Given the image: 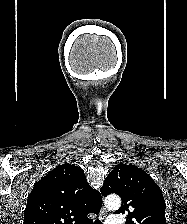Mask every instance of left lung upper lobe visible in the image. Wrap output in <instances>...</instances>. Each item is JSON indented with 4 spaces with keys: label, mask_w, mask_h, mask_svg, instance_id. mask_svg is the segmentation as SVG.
<instances>
[{
    "label": "left lung upper lobe",
    "mask_w": 187,
    "mask_h": 224,
    "mask_svg": "<svg viewBox=\"0 0 187 224\" xmlns=\"http://www.w3.org/2000/svg\"><path fill=\"white\" fill-rule=\"evenodd\" d=\"M106 196L118 194L122 205L115 213L126 214L125 224H165V201L152 178L132 164L120 163L106 177L100 189Z\"/></svg>",
    "instance_id": "1"
}]
</instances>
